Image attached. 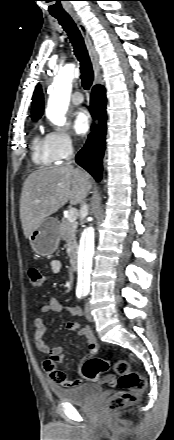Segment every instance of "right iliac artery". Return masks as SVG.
I'll use <instances>...</instances> for the list:
<instances>
[{
    "label": "right iliac artery",
    "mask_w": 174,
    "mask_h": 440,
    "mask_svg": "<svg viewBox=\"0 0 174 440\" xmlns=\"http://www.w3.org/2000/svg\"><path fill=\"white\" fill-rule=\"evenodd\" d=\"M76 295L79 299H81V297L83 296V294L81 292H77Z\"/></svg>",
    "instance_id": "right-iliac-artery-1"
}]
</instances>
